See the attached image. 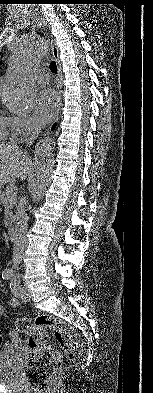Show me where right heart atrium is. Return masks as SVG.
I'll use <instances>...</instances> for the list:
<instances>
[{
	"mask_svg": "<svg viewBox=\"0 0 153 393\" xmlns=\"http://www.w3.org/2000/svg\"><path fill=\"white\" fill-rule=\"evenodd\" d=\"M14 138L28 137L38 131L35 121L28 116H14Z\"/></svg>",
	"mask_w": 153,
	"mask_h": 393,
	"instance_id": "obj_1",
	"label": "right heart atrium"
}]
</instances>
